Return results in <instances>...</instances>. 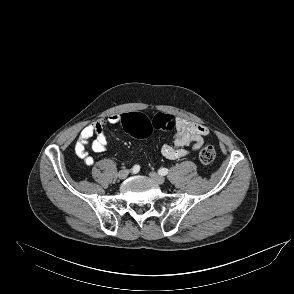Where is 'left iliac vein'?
I'll list each match as a JSON object with an SVG mask.
<instances>
[{
	"label": "left iliac vein",
	"instance_id": "left-iliac-vein-1",
	"mask_svg": "<svg viewBox=\"0 0 294 294\" xmlns=\"http://www.w3.org/2000/svg\"><path fill=\"white\" fill-rule=\"evenodd\" d=\"M149 176L158 184H163L165 182V178L157 173L150 172Z\"/></svg>",
	"mask_w": 294,
	"mask_h": 294
}]
</instances>
